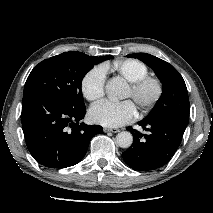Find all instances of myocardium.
<instances>
[{
    "mask_svg": "<svg viewBox=\"0 0 213 213\" xmlns=\"http://www.w3.org/2000/svg\"><path fill=\"white\" fill-rule=\"evenodd\" d=\"M129 88L137 106L142 112H146L154 107L163 94V85L156 77L145 76L141 79L130 83ZM146 89H151V94L142 98V94Z\"/></svg>",
    "mask_w": 213,
    "mask_h": 213,
    "instance_id": "1",
    "label": "myocardium"
}]
</instances>
